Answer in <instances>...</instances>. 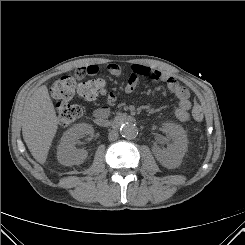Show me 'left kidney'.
<instances>
[{
    "label": "left kidney",
    "instance_id": "5707ae66",
    "mask_svg": "<svg viewBox=\"0 0 245 245\" xmlns=\"http://www.w3.org/2000/svg\"><path fill=\"white\" fill-rule=\"evenodd\" d=\"M163 131L169 134L173 144L167 149H156L155 156L166 167L177 166L187 151L188 140L186 132L180 125L174 123H165Z\"/></svg>",
    "mask_w": 245,
    "mask_h": 245
}]
</instances>
